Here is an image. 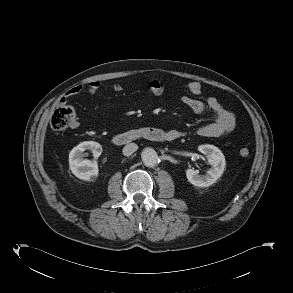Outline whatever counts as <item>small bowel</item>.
Masks as SVG:
<instances>
[{
	"instance_id": "1",
	"label": "small bowel",
	"mask_w": 293,
	"mask_h": 293,
	"mask_svg": "<svg viewBox=\"0 0 293 293\" xmlns=\"http://www.w3.org/2000/svg\"><path fill=\"white\" fill-rule=\"evenodd\" d=\"M101 88L102 84L99 81H91L86 86L78 85L67 91L61 101L65 102L67 98L74 97L83 92L85 89L90 94H94L100 91ZM111 90L114 92H121L123 90V87L122 85L115 83L111 85ZM164 90V84L158 80H153L149 84V91L155 96L163 94ZM188 90L191 96H184L182 98V103L188 109L197 114L211 113L214 115L215 118L212 123L196 127L194 129V132L196 134L206 137H224L235 129V115L227 108H225L216 98L209 97L205 102H202L196 98L202 93V87L198 82L190 83L188 85ZM72 126L75 127L76 123H73ZM167 132L173 137V139L179 138L185 134L184 131L177 129H172Z\"/></svg>"
}]
</instances>
